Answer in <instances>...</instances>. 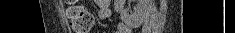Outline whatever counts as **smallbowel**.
<instances>
[{
	"mask_svg": "<svg viewBox=\"0 0 235 33\" xmlns=\"http://www.w3.org/2000/svg\"><path fill=\"white\" fill-rule=\"evenodd\" d=\"M98 5V17L100 19H108L111 16L110 1L109 0H97ZM115 33H131V29L125 23H119Z\"/></svg>",
	"mask_w": 235,
	"mask_h": 33,
	"instance_id": "c3829d8e",
	"label": "small bowel"
}]
</instances>
